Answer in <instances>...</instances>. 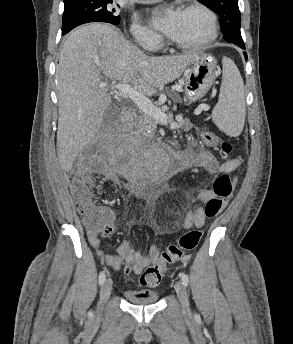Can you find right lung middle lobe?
<instances>
[{
	"label": "right lung middle lobe",
	"mask_w": 293,
	"mask_h": 344,
	"mask_svg": "<svg viewBox=\"0 0 293 344\" xmlns=\"http://www.w3.org/2000/svg\"><path fill=\"white\" fill-rule=\"evenodd\" d=\"M113 0H77L64 3L62 35L73 28L89 22L119 24L120 16L112 9Z\"/></svg>",
	"instance_id": "obj_1"
}]
</instances>
